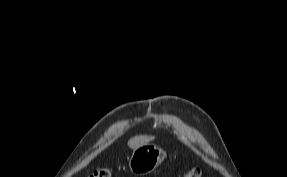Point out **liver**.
I'll return each instance as SVG.
<instances>
[{
  "mask_svg": "<svg viewBox=\"0 0 287 177\" xmlns=\"http://www.w3.org/2000/svg\"><path fill=\"white\" fill-rule=\"evenodd\" d=\"M152 140H154L153 136H135L128 141V146L131 149H136L144 144L149 143Z\"/></svg>",
  "mask_w": 287,
  "mask_h": 177,
  "instance_id": "obj_1",
  "label": "liver"
}]
</instances>
